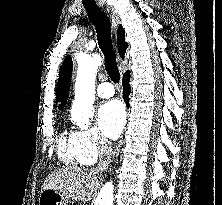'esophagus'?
I'll return each instance as SVG.
<instances>
[{
	"instance_id": "obj_1",
	"label": "esophagus",
	"mask_w": 222,
	"mask_h": 205,
	"mask_svg": "<svg viewBox=\"0 0 222 205\" xmlns=\"http://www.w3.org/2000/svg\"><path fill=\"white\" fill-rule=\"evenodd\" d=\"M105 11L108 13L111 21H112V26H113V30L114 32L116 31V28H117V18H116V15L115 13L110 9V7H106L105 8ZM118 153H119V148H117L113 154H112V157H111V161L115 160L118 156Z\"/></svg>"
}]
</instances>
